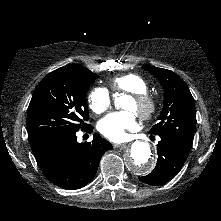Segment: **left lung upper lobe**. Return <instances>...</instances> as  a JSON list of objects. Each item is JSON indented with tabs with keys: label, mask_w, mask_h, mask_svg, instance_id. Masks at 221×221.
Wrapping results in <instances>:
<instances>
[{
	"label": "left lung upper lobe",
	"mask_w": 221,
	"mask_h": 221,
	"mask_svg": "<svg viewBox=\"0 0 221 221\" xmlns=\"http://www.w3.org/2000/svg\"><path fill=\"white\" fill-rule=\"evenodd\" d=\"M142 68L150 72L164 89V105L159 123L150 132L169 138L189 153L196 127L194 99L186 83L174 72L150 65Z\"/></svg>",
	"instance_id": "5c2ea615"
}]
</instances>
